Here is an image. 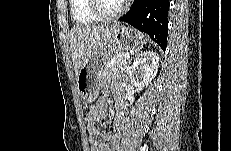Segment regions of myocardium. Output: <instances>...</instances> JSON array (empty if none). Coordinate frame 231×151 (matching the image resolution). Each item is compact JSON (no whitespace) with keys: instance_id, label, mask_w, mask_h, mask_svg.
Wrapping results in <instances>:
<instances>
[{"instance_id":"1","label":"myocardium","mask_w":231,"mask_h":151,"mask_svg":"<svg viewBox=\"0 0 231 151\" xmlns=\"http://www.w3.org/2000/svg\"><path fill=\"white\" fill-rule=\"evenodd\" d=\"M91 13L101 21H112L121 17L127 10V2H123L121 7L114 13H106L102 10L101 0H90Z\"/></svg>"}]
</instances>
